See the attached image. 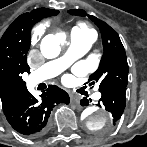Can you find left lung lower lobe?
Segmentation results:
<instances>
[{"label":"left lung lower lobe","mask_w":147,"mask_h":147,"mask_svg":"<svg viewBox=\"0 0 147 147\" xmlns=\"http://www.w3.org/2000/svg\"><path fill=\"white\" fill-rule=\"evenodd\" d=\"M101 98L98 106L105 107L112 115V124L115 125L121 118L126 105V87L113 86L101 91ZM89 101L86 98L81 100L82 106H87Z\"/></svg>","instance_id":"obj_1"}]
</instances>
